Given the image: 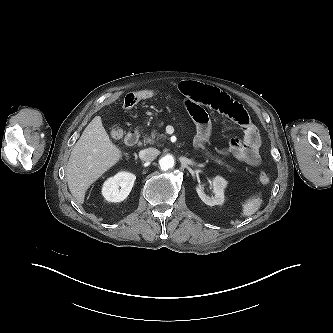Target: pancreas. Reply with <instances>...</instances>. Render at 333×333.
Returning <instances> with one entry per match:
<instances>
[{
	"instance_id": "cf45deb5",
	"label": "pancreas",
	"mask_w": 333,
	"mask_h": 333,
	"mask_svg": "<svg viewBox=\"0 0 333 333\" xmlns=\"http://www.w3.org/2000/svg\"><path fill=\"white\" fill-rule=\"evenodd\" d=\"M162 126H163V122H161V123L158 124V127H162ZM143 137H144L143 138L144 144H146V143L154 144V143H157L159 139H161L162 137H164V134H159L157 132V130L152 129L150 135L145 134ZM211 158L215 162H217L218 164H224L223 161L220 160V159H218V158H215L213 156H211Z\"/></svg>"
}]
</instances>
